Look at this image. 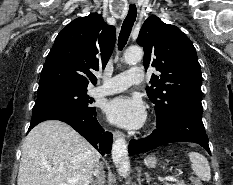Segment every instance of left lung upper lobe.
<instances>
[{
    "instance_id": "obj_1",
    "label": "left lung upper lobe",
    "mask_w": 233,
    "mask_h": 185,
    "mask_svg": "<svg viewBox=\"0 0 233 185\" xmlns=\"http://www.w3.org/2000/svg\"><path fill=\"white\" fill-rule=\"evenodd\" d=\"M137 43L144 49L145 69L155 67L146 92L155 105L157 123L164 124L187 101L201 99V68L191 40L176 26L150 16Z\"/></svg>"
}]
</instances>
